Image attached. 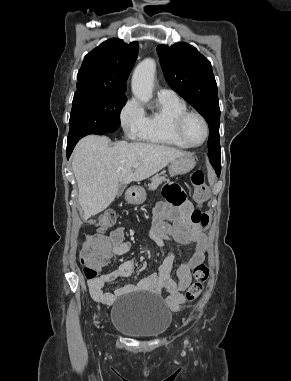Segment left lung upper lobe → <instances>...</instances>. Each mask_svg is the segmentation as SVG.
I'll return each mask as SVG.
<instances>
[{
    "label": "left lung upper lobe",
    "mask_w": 291,
    "mask_h": 381,
    "mask_svg": "<svg viewBox=\"0 0 291 381\" xmlns=\"http://www.w3.org/2000/svg\"><path fill=\"white\" fill-rule=\"evenodd\" d=\"M157 52L169 86L188 101L208 122L209 159L220 160V108L217 84L210 61L195 47L184 42L171 47L159 45Z\"/></svg>",
    "instance_id": "5c2ea615"
}]
</instances>
